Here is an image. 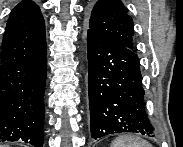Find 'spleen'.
Returning a JSON list of instances; mask_svg holds the SVG:
<instances>
[{"mask_svg":"<svg viewBox=\"0 0 183 147\" xmlns=\"http://www.w3.org/2000/svg\"><path fill=\"white\" fill-rule=\"evenodd\" d=\"M111 147H152V145L139 137L119 136L112 142Z\"/></svg>","mask_w":183,"mask_h":147,"instance_id":"spleen-1","label":"spleen"}]
</instances>
